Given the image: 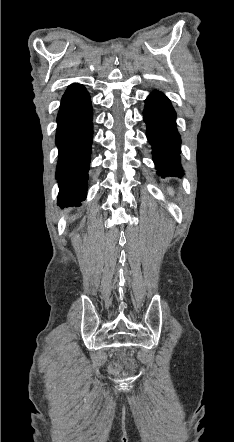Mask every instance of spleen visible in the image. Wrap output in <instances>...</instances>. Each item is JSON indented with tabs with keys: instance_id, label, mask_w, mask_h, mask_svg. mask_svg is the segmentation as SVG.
<instances>
[{
	"instance_id": "spleen-1",
	"label": "spleen",
	"mask_w": 234,
	"mask_h": 442,
	"mask_svg": "<svg viewBox=\"0 0 234 442\" xmlns=\"http://www.w3.org/2000/svg\"><path fill=\"white\" fill-rule=\"evenodd\" d=\"M167 191H168V193H169L170 195H173V194H174V191H173L172 188H167Z\"/></svg>"
}]
</instances>
